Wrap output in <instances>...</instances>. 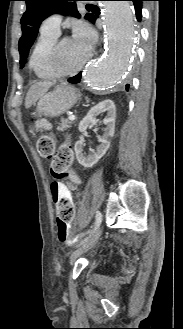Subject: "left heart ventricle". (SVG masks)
<instances>
[{
	"mask_svg": "<svg viewBox=\"0 0 183 329\" xmlns=\"http://www.w3.org/2000/svg\"><path fill=\"white\" fill-rule=\"evenodd\" d=\"M89 52L78 47L72 39H66L62 43L60 68L72 69L85 61Z\"/></svg>",
	"mask_w": 183,
	"mask_h": 329,
	"instance_id": "b2bd125f",
	"label": "left heart ventricle"
}]
</instances>
